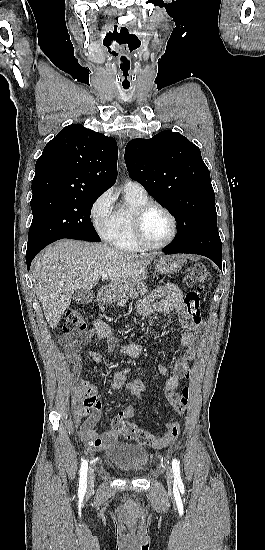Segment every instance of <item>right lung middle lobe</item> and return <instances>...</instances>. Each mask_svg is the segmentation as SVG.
Listing matches in <instances>:
<instances>
[{
    "instance_id": "right-lung-middle-lobe-1",
    "label": "right lung middle lobe",
    "mask_w": 265,
    "mask_h": 550,
    "mask_svg": "<svg viewBox=\"0 0 265 550\" xmlns=\"http://www.w3.org/2000/svg\"><path fill=\"white\" fill-rule=\"evenodd\" d=\"M100 195H64L53 192L33 194L30 205L33 220L27 252L43 249L63 238L101 241L90 218L93 203Z\"/></svg>"
}]
</instances>
